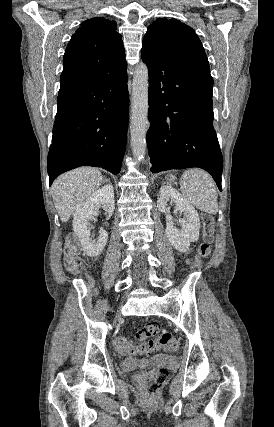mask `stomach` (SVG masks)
<instances>
[{
  "label": "stomach",
  "instance_id": "stomach-1",
  "mask_svg": "<svg viewBox=\"0 0 274 427\" xmlns=\"http://www.w3.org/2000/svg\"><path fill=\"white\" fill-rule=\"evenodd\" d=\"M175 180L174 176H169V182H173Z\"/></svg>",
  "mask_w": 274,
  "mask_h": 427
}]
</instances>
